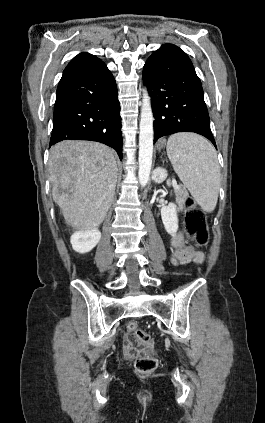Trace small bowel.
I'll list each match as a JSON object with an SVG mask.
<instances>
[{"mask_svg": "<svg viewBox=\"0 0 265 423\" xmlns=\"http://www.w3.org/2000/svg\"><path fill=\"white\" fill-rule=\"evenodd\" d=\"M172 246L174 248L172 262L175 265L189 262L202 264L205 260L202 252L194 250L184 243L183 236L180 233L172 238ZM123 350L127 359H131L137 351L134 342L128 336H124L123 338Z\"/></svg>", "mask_w": 265, "mask_h": 423, "instance_id": "obj_1", "label": "small bowel"}]
</instances>
